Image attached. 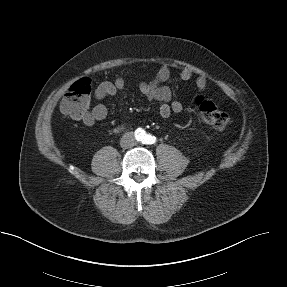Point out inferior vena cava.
Returning a JSON list of instances; mask_svg holds the SVG:
<instances>
[{
	"label": "inferior vena cava",
	"instance_id": "1",
	"mask_svg": "<svg viewBox=\"0 0 287 287\" xmlns=\"http://www.w3.org/2000/svg\"><path fill=\"white\" fill-rule=\"evenodd\" d=\"M125 141H128V144H126V147H132V146H134V137H133L132 134H126V135L123 137L122 142H125Z\"/></svg>",
	"mask_w": 287,
	"mask_h": 287
}]
</instances>
